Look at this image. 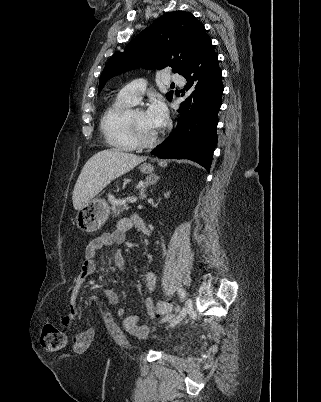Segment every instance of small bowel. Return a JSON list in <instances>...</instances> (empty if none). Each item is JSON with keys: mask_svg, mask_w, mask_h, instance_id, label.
<instances>
[{"mask_svg": "<svg viewBox=\"0 0 321 402\" xmlns=\"http://www.w3.org/2000/svg\"><path fill=\"white\" fill-rule=\"evenodd\" d=\"M138 228L142 233L149 235L147 227L139 220L136 219H122L118 222L117 227L112 232L103 233L93 238L85 249V263L82 267L80 274L76 279V284H81L85 279L93 275L98 270V263L96 261L100 251L113 244H121L126 239L127 232L133 228ZM112 265L118 271H124V257L120 251H115L112 255ZM157 284V276L154 271H147L145 273V285L149 291H154ZM106 298L110 305L116 306L120 303V297L118 293L113 289H107ZM144 307L147 315L150 318H154L157 313L154 307V302L151 298L144 300ZM117 316L123 319L124 329L132 335L140 337L142 339L147 338L148 329L145 325L139 323L138 315H127L125 308H118ZM78 316L77 309L70 307L67 314L63 317L62 323L68 328L72 329L71 343L75 349L73 355L75 358H82L86 352L91 334L94 329L91 326H73Z\"/></svg>", "mask_w": 321, "mask_h": 402, "instance_id": "small-bowel-1", "label": "small bowel"}]
</instances>
